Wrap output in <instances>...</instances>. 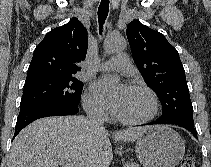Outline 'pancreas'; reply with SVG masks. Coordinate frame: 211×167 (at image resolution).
<instances>
[{
	"label": "pancreas",
	"mask_w": 211,
	"mask_h": 167,
	"mask_svg": "<svg viewBox=\"0 0 211 167\" xmlns=\"http://www.w3.org/2000/svg\"><path fill=\"white\" fill-rule=\"evenodd\" d=\"M123 167H140L139 164L134 162H126Z\"/></svg>",
	"instance_id": "cf45deb5"
}]
</instances>
